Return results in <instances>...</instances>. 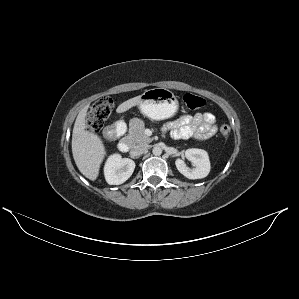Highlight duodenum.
<instances>
[{
  "mask_svg": "<svg viewBox=\"0 0 299 299\" xmlns=\"http://www.w3.org/2000/svg\"><path fill=\"white\" fill-rule=\"evenodd\" d=\"M125 131H126L125 125L121 122H117L108 126L104 132V135L107 138L119 137V140L117 142L118 149L121 152H128L130 149V144L127 139L122 137Z\"/></svg>",
  "mask_w": 299,
  "mask_h": 299,
  "instance_id": "duodenum-1",
  "label": "duodenum"
}]
</instances>
